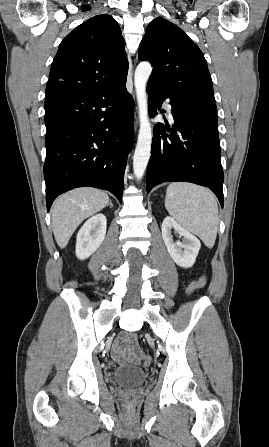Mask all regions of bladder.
Instances as JSON below:
<instances>
[{
	"label": "bladder",
	"mask_w": 269,
	"mask_h": 447,
	"mask_svg": "<svg viewBox=\"0 0 269 447\" xmlns=\"http://www.w3.org/2000/svg\"><path fill=\"white\" fill-rule=\"evenodd\" d=\"M147 378L145 370L136 366L121 365L118 366L112 374L113 381L118 385L136 387L143 383Z\"/></svg>",
	"instance_id": "obj_1"
}]
</instances>
